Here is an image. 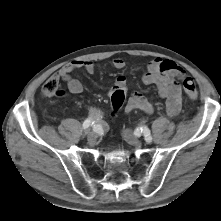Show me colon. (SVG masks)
I'll list each match as a JSON object with an SVG mask.
<instances>
[{
  "label": "colon",
  "mask_w": 221,
  "mask_h": 221,
  "mask_svg": "<svg viewBox=\"0 0 221 221\" xmlns=\"http://www.w3.org/2000/svg\"><path fill=\"white\" fill-rule=\"evenodd\" d=\"M183 88L187 96L195 100L197 98V89L192 78L184 76L182 79ZM41 92L46 97L61 96L64 92L59 88V80L55 76L48 78L42 85ZM126 98V91L123 88H116L110 96L111 113L114 115L122 107Z\"/></svg>",
  "instance_id": "colon-1"
}]
</instances>
